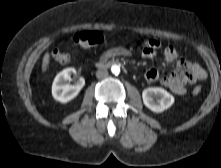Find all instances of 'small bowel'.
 <instances>
[{"label":"small bowel","mask_w":221,"mask_h":168,"mask_svg":"<svg viewBox=\"0 0 221 168\" xmlns=\"http://www.w3.org/2000/svg\"><path fill=\"white\" fill-rule=\"evenodd\" d=\"M156 49H151L149 47H144L142 55L145 58H153L156 55ZM130 51L122 46L113 47L106 50L101 55V61H105L109 57L114 56H129ZM164 57L168 62H175L178 60V53L173 46H167L164 49ZM186 66V67H185ZM206 76L203 68L196 62H189L187 65L180 62V68L170 74L163 77H160L158 70L151 68L146 70L144 77L148 81H157L160 80V83L167 87L176 95H183L186 92V85L188 83H194L198 80L204 79Z\"/></svg>","instance_id":"1"}]
</instances>
